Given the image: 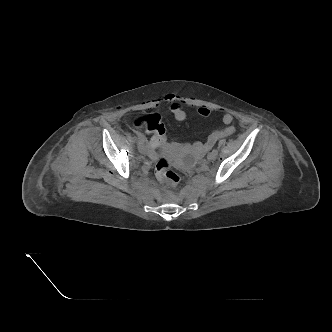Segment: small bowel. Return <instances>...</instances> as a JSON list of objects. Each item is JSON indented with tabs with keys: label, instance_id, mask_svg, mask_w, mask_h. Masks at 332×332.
Segmentation results:
<instances>
[{
	"label": "small bowel",
	"instance_id": "1",
	"mask_svg": "<svg viewBox=\"0 0 332 332\" xmlns=\"http://www.w3.org/2000/svg\"><path fill=\"white\" fill-rule=\"evenodd\" d=\"M164 101L170 104V110L177 121L186 119L187 113L183 108V101L180 97L170 93L165 96ZM198 113L201 117L206 118L210 115V110L206 107H200ZM222 121L226 125L225 128L212 131L204 143H194L193 147L197 153H203L209 150L219 139L228 137L235 132V127L232 125L233 116L231 113H225L222 117ZM159 147L161 146L157 143L155 137H152L148 146L145 147L144 152L154 157L156 149Z\"/></svg>",
	"mask_w": 332,
	"mask_h": 332
}]
</instances>
